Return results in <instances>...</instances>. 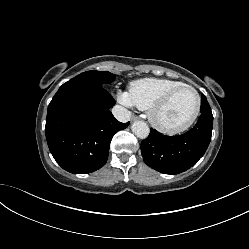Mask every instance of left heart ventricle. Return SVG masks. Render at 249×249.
<instances>
[{"mask_svg":"<svg viewBox=\"0 0 249 249\" xmlns=\"http://www.w3.org/2000/svg\"><path fill=\"white\" fill-rule=\"evenodd\" d=\"M195 106V94L189 89H182L157 113V119L168 127L182 125L190 118Z\"/></svg>","mask_w":249,"mask_h":249,"instance_id":"left-heart-ventricle-1","label":"left heart ventricle"}]
</instances>
